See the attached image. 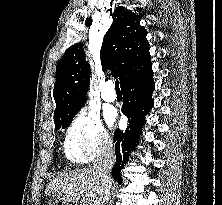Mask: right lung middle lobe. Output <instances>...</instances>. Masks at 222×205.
<instances>
[{
  "label": "right lung middle lobe",
  "mask_w": 222,
  "mask_h": 205,
  "mask_svg": "<svg viewBox=\"0 0 222 205\" xmlns=\"http://www.w3.org/2000/svg\"><path fill=\"white\" fill-rule=\"evenodd\" d=\"M75 115L68 117V118H64V119H60V120H56L55 121V130L62 128H65L67 126H69L71 124V121L73 119Z\"/></svg>",
  "instance_id": "dd1d6c3e"
}]
</instances>
